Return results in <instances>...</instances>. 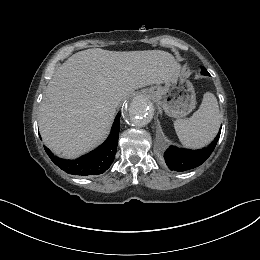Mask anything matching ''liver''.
<instances>
[{
  "mask_svg": "<svg viewBox=\"0 0 260 260\" xmlns=\"http://www.w3.org/2000/svg\"><path fill=\"white\" fill-rule=\"evenodd\" d=\"M180 64L161 50L92 48L68 58L54 73L40 107L39 130L46 146L76 158L100 143L116 107L136 89L177 76Z\"/></svg>",
  "mask_w": 260,
  "mask_h": 260,
  "instance_id": "6515ba94",
  "label": "liver"
}]
</instances>
